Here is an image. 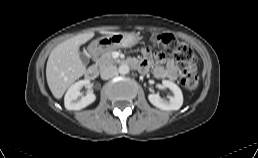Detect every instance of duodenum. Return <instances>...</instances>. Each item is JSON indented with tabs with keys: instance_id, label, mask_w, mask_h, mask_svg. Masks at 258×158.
<instances>
[{
	"instance_id": "duodenum-1",
	"label": "duodenum",
	"mask_w": 258,
	"mask_h": 158,
	"mask_svg": "<svg viewBox=\"0 0 258 158\" xmlns=\"http://www.w3.org/2000/svg\"><path fill=\"white\" fill-rule=\"evenodd\" d=\"M100 52V46L94 45L91 47V54L94 57H97L99 55ZM126 65L135 68V69H140V63L139 61L135 60V59H128L125 62ZM100 69L98 66L96 65H91L87 68L86 72H85V77L88 80H93L95 79L98 75H99Z\"/></svg>"
}]
</instances>
